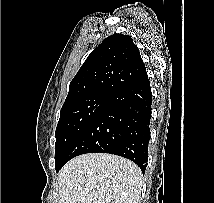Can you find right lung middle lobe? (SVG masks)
I'll return each instance as SVG.
<instances>
[{
  "mask_svg": "<svg viewBox=\"0 0 214 203\" xmlns=\"http://www.w3.org/2000/svg\"><path fill=\"white\" fill-rule=\"evenodd\" d=\"M110 98L107 94L93 93L63 104L55 132L56 170L66 162L71 148Z\"/></svg>",
  "mask_w": 214,
  "mask_h": 203,
  "instance_id": "dd1d6c3e",
  "label": "right lung middle lobe"
}]
</instances>
